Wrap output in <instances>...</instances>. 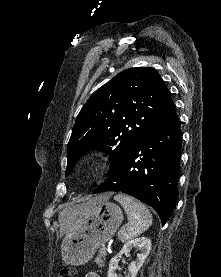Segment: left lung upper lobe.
I'll list each match as a JSON object with an SVG mask.
<instances>
[{
    "mask_svg": "<svg viewBox=\"0 0 221 277\" xmlns=\"http://www.w3.org/2000/svg\"><path fill=\"white\" fill-rule=\"evenodd\" d=\"M173 104L155 69L136 67L117 74L97 89L79 112L68 143L66 176L91 149L109 154L107 176L112 174L127 151Z\"/></svg>",
    "mask_w": 221,
    "mask_h": 277,
    "instance_id": "obj_1",
    "label": "left lung upper lobe"
}]
</instances>
